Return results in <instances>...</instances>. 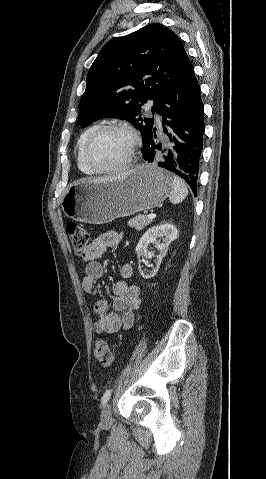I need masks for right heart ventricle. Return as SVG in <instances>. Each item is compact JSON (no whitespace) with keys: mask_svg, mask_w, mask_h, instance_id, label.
Instances as JSON below:
<instances>
[{"mask_svg":"<svg viewBox=\"0 0 266 479\" xmlns=\"http://www.w3.org/2000/svg\"><path fill=\"white\" fill-rule=\"evenodd\" d=\"M98 124H92L87 127L79 136L76 146V161L78 169L85 175H92L93 173L86 166L83 159V150L89 136L98 128Z\"/></svg>","mask_w":266,"mask_h":479,"instance_id":"e07e8e85","label":"right heart ventricle"}]
</instances>
